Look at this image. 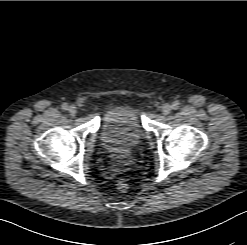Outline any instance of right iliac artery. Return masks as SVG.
Segmentation results:
<instances>
[{"instance_id": "1", "label": "right iliac artery", "mask_w": 247, "mask_h": 245, "mask_svg": "<svg viewBox=\"0 0 247 245\" xmlns=\"http://www.w3.org/2000/svg\"><path fill=\"white\" fill-rule=\"evenodd\" d=\"M62 110L66 111L68 110V104L67 103H63L61 106Z\"/></svg>"}]
</instances>
